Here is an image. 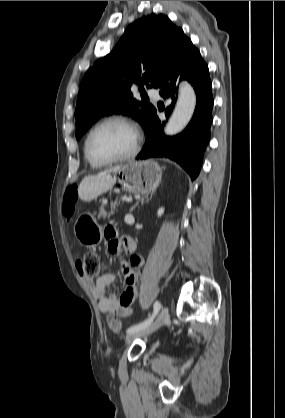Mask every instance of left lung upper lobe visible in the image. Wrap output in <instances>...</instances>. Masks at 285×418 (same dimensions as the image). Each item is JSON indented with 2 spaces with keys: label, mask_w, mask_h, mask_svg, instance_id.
<instances>
[{
  "label": "left lung upper lobe",
  "mask_w": 285,
  "mask_h": 418,
  "mask_svg": "<svg viewBox=\"0 0 285 418\" xmlns=\"http://www.w3.org/2000/svg\"><path fill=\"white\" fill-rule=\"evenodd\" d=\"M183 37V30L163 14L144 16L130 24L112 52L96 61L81 82L76 139L101 116L119 113L139 121L147 133L156 109L134 99L131 88L139 86L141 95L143 84L158 88Z\"/></svg>",
  "instance_id": "1"
}]
</instances>
